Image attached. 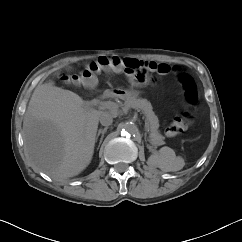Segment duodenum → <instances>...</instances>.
Listing matches in <instances>:
<instances>
[{
  "label": "duodenum",
  "instance_id": "duodenum-1",
  "mask_svg": "<svg viewBox=\"0 0 242 242\" xmlns=\"http://www.w3.org/2000/svg\"><path fill=\"white\" fill-rule=\"evenodd\" d=\"M115 96V92L114 91H106L103 94L100 95L101 99H107V98H111Z\"/></svg>",
  "mask_w": 242,
  "mask_h": 242
}]
</instances>
